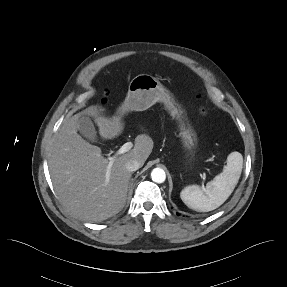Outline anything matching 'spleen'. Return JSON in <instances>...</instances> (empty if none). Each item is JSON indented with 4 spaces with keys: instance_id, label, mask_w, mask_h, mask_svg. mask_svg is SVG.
Returning a JSON list of instances; mask_svg holds the SVG:
<instances>
[{
    "instance_id": "1",
    "label": "spleen",
    "mask_w": 287,
    "mask_h": 287,
    "mask_svg": "<svg viewBox=\"0 0 287 287\" xmlns=\"http://www.w3.org/2000/svg\"><path fill=\"white\" fill-rule=\"evenodd\" d=\"M243 157L231 152L222 173L206 184V188L192 185L185 187L180 197L184 204L198 212H209L221 206L231 195L241 176Z\"/></svg>"
}]
</instances>
